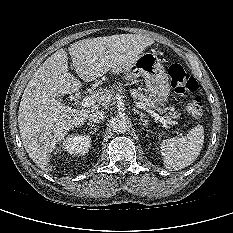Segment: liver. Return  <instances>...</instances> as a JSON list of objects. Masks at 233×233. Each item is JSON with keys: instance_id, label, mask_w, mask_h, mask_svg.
<instances>
[{"instance_id": "obj_1", "label": "liver", "mask_w": 233, "mask_h": 233, "mask_svg": "<svg viewBox=\"0 0 233 233\" xmlns=\"http://www.w3.org/2000/svg\"><path fill=\"white\" fill-rule=\"evenodd\" d=\"M154 43L137 34H119L86 39L68 47L74 70L85 82L108 72L111 76L127 70L133 61ZM81 82L68 72L65 49L52 54L37 69L21 98L18 124L29 157L43 171L50 172V154L64 136L82 125L91 111L111 102L108 90L100 92L98 105L86 109L66 106L58 98L78 92Z\"/></svg>"}]
</instances>
